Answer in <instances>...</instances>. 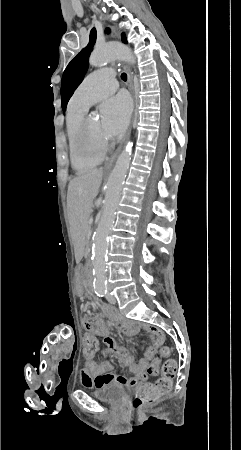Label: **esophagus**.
<instances>
[{"mask_svg":"<svg viewBox=\"0 0 241 450\" xmlns=\"http://www.w3.org/2000/svg\"><path fill=\"white\" fill-rule=\"evenodd\" d=\"M125 68H126V71H127V74H128V87H129V89L132 91L133 97H134V86H133L132 75H131V72H130L129 68H127V67H125ZM130 134H131V129L129 130V132H128V134H127V139L130 137ZM120 150H121V147L117 149L116 153H114V155H113V156L111 157V159L106 163V165L104 166V168L109 169V168H111V167L113 166V164H114V162H115V160H116V158H117V155H118V153L120 152Z\"/></svg>","mask_w":241,"mask_h":450,"instance_id":"34e87169","label":"esophagus"}]
</instances>
